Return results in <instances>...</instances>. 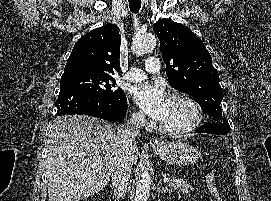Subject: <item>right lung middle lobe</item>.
I'll return each instance as SVG.
<instances>
[{
	"mask_svg": "<svg viewBox=\"0 0 271 201\" xmlns=\"http://www.w3.org/2000/svg\"><path fill=\"white\" fill-rule=\"evenodd\" d=\"M116 81L113 75L86 70L64 71L60 82L59 94H90L111 97L123 93L115 89Z\"/></svg>",
	"mask_w": 271,
	"mask_h": 201,
	"instance_id": "dd1d6c3e",
	"label": "right lung middle lobe"
}]
</instances>
